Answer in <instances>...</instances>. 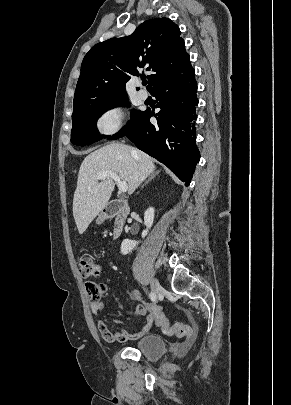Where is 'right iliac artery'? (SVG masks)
Wrapping results in <instances>:
<instances>
[{"mask_svg": "<svg viewBox=\"0 0 291 405\" xmlns=\"http://www.w3.org/2000/svg\"><path fill=\"white\" fill-rule=\"evenodd\" d=\"M149 297H150L151 301L156 300V295L153 292H150Z\"/></svg>", "mask_w": 291, "mask_h": 405, "instance_id": "82829eb1", "label": "right iliac artery"}]
</instances>
